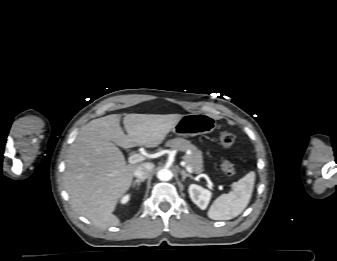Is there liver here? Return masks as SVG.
<instances>
[{"label":"liver","mask_w":337,"mask_h":261,"mask_svg":"<svg viewBox=\"0 0 337 261\" xmlns=\"http://www.w3.org/2000/svg\"><path fill=\"white\" fill-rule=\"evenodd\" d=\"M120 117L111 114L83 126L66 158L64 187L73 209L102 229L119 225L113 211L129 190L135 168L145 164L128 165L117 146L157 147L182 115L127 114L123 119L127 135Z\"/></svg>","instance_id":"obj_1"}]
</instances>
